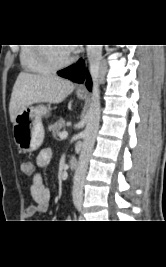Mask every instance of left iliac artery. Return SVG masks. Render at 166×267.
Returning a JSON list of instances; mask_svg holds the SVG:
<instances>
[{
	"label": "left iliac artery",
	"instance_id": "1",
	"mask_svg": "<svg viewBox=\"0 0 166 267\" xmlns=\"http://www.w3.org/2000/svg\"><path fill=\"white\" fill-rule=\"evenodd\" d=\"M77 206H78V209L81 210V204H78Z\"/></svg>",
	"mask_w": 166,
	"mask_h": 267
}]
</instances>
